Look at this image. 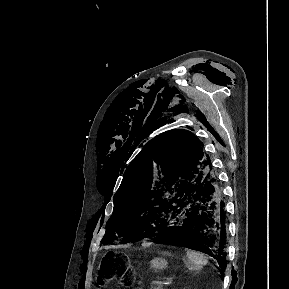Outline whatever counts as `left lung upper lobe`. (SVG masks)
Instances as JSON below:
<instances>
[{"label":"left lung upper lobe","instance_id":"left-lung-upper-lobe-1","mask_svg":"<svg viewBox=\"0 0 289 289\" xmlns=\"http://www.w3.org/2000/svg\"><path fill=\"white\" fill-rule=\"evenodd\" d=\"M202 147L188 130H171L149 141L124 174L102 242L129 243L155 231L168 216L172 198L211 168Z\"/></svg>","mask_w":289,"mask_h":289}]
</instances>
